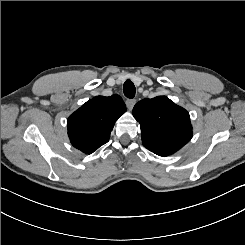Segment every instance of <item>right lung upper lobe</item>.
I'll return each instance as SVG.
<instances>
[{"instance_id":"cb5924a9","label":"right lung upper lobe","mask_w":245,"mask_h":245,"mask_svg":"<svg viewBox=\"0 0 245 245\" xmlns=\"http://www.w3.org/2000/svg\"><path fill=\"white\" fill-rule=\"evenodd\" d=\"M125 111L126 106L117 94L90 99L67 120L72 145L91 154L109 141L115 122Z\"/></svg>"}]
</instances>
